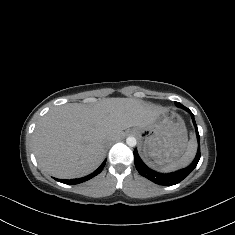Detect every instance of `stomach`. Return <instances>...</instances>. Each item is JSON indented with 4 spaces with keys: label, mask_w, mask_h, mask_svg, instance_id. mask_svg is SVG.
<instances>
[{
    "label": "stomach",
    "mask_w": 235,
    "mask_h": 235,
    "mask_svg": "<svg viewBox=\"0 0 235 235\" xmlns=\"http://www.w3.org/2000/svg\"><path fill=\"white\" fill-rule=\"evenodd\" d=\"M132 131L142 141V154L154 168L180 158L187 148L185 124L177 114L169 110L161 113L147 128H133Z\"/></svg>",
    "instance_id": "1"
}]
</instances>
